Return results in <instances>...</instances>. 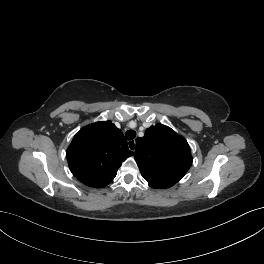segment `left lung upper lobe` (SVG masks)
Instances as JSON below:
<instances>
[{"label":"left lung upper lobe","mask_w":264,"mask_h":264,"mask_svg":"<svg viewBox=\"0 0 264 264\" xmlns=\"http://www.w3.org/2000/svg\"><path fill=\"white\" fill-rule=\"evenodd\" d=\"M135 160L144 178L166 177L178 182L189 170L192 156L184 137L157 124L136 139Z\"/></svg>","instance_id":"5c2ea615"}]
</instances>
